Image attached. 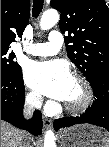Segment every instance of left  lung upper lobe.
Here are the masks:
<instances>
[{
	"mask_svg": "<svg viewBox=\"0 0 109 147\" xmlns=\"http://www.w3.org/2000/svg\"><path fill=\"white\" fill-rule=\"evenodd\" d=\"M70 60L92 82L109 71V7L104 0H51Z\"/></svg>",
	"mask_w": 109,
	"mask_h": 147,
	"instance_id": "5c2ea615",
	"label": "left lung upper lobe"
}]
</instances>
